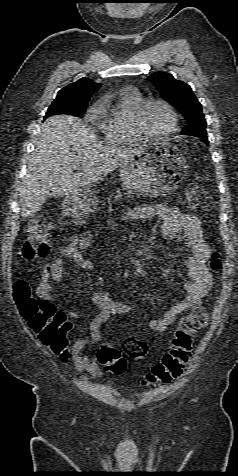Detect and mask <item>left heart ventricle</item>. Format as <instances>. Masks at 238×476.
<instances>
[{
	"mask_svg": "<svg viewBox=\"0 0 238 476\" xmlns=\"http://www.w3.org/2000/svg\"><path fill=\"white\" fill-rule=\"evenodd\" d=\"M171 124V117L167 109L161 104L150 105L143 115V126L148 134L160 136Z\"/></svg>",
	"mask_w": 238,
	"mask_h": 476,
	"instance_id": "1",
	"label": "left heart ventricle"
}]
</instances>
